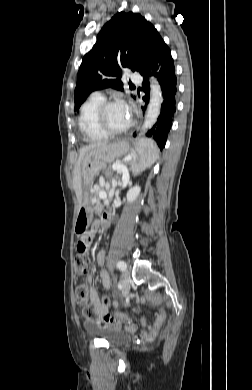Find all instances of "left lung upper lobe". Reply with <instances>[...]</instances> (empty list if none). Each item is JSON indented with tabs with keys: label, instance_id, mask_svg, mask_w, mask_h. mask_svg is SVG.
I'll use <instances>...</instances> for the list:
<instances>
[{
	"label": "left lung upper lobe",
	"instance_id": "left-lung-upper-lobe-1",
	"mask_svg": "<svg viewBox=\"0 0 252 390\" xmlns=\"http://www.w3.org/2000/svg\"><path fill=\"white\" fill-rule=\"evenodd\" d=\"M162 40L155 27L140 14L120 12L114 15L83 57L77 75L75 109L78 110L95 90L112 87L122 91V68L141 74Z\"/></svg>",
	"mask_w": 252,
	"mask_h": 390
}]
</instances>
